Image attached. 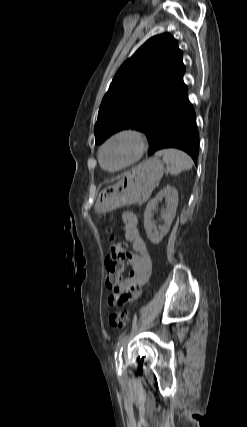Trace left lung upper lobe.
Listing matches in <instances>:
<instances>
[{
    "instance_id": "left-lung-upper-lobe-1",
    "label": "left lung upper lobe",
    "mask_w": 247,
    "mask_h": 427,
    "mask_svg": "<svg viewBox=\"0 0 247 427\" xmlns=\"http://www.w3.org/2000/svg\"><path fill=\"white\" fill-rule=\"evenodd\" d=\"M183 52L168 33L146 41L117 71L98 113L97 144L123 129L146 132L152 119L187 89Z\"/></svg>"
}]
</instances>
